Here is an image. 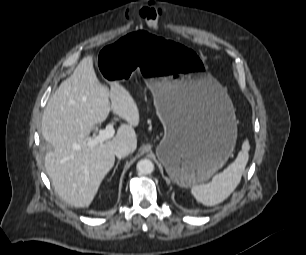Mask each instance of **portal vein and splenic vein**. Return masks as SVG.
<instances>
[{
    "mask_svg": "<svg viewBox=\"0 0 306 255\" xmlns=\"http://www.w3.org/2000/svg\"><path fill=\"white\" fill-rule=\"evenodd\" d=\"M115 134L113 125L109 123L105 129L99 131L98 135L87 141L89 147H94L98 144H102L104 141L111 139Z\"/></svg>",
    "mask_w": 306,
    "mask_h": 255,
    "instance_id": "portal-vein-and-splenic-vein-1",
    "label": "portal vein and splenic vein"
}]
</instances>
